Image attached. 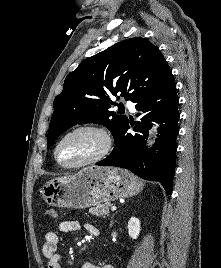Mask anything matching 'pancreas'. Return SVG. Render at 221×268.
<instances>
[{
    "instance_id": "cf45deb5",
    "label": "pancreas",
    "mask_w": 221,
    "mask_h": 268,
    "mask_svg": "<svg viewBox=\"0 0 221 268\" xmlns=\"http://www.w3.org/2000/svg\"><path fill=\"white\" fill-rule=\"evenodd\" d=\"M111 206V203H104V204H97L95 207H91L89 209V213L99 216V217H105L109 216V207Z\"/></svg>"
}]
</instances>
